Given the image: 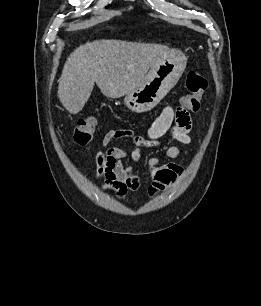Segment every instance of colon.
Instances as JSON below:
<instances>
[{
  "instance_id": "5ec220e1",
  "label": "colon",
  "mask_w": 261,
  "mask_h": 306,
  "mask_svg": "<svg viewBox=\"0 0 261 306\" xmlns=\"http://www.w3.org/2000/svg\"><path fill=\"white\" fill-rule=\"evenodd\" d=\"M206 88L207 83L204 77L198 71H190L186 77L187 94L182 96L180 100V108L185 111L198 110ZM95 124V119L93 117H81L73 132L75 143L81 146L89 144L93 138ZM104 158L105 155L103 153L97 155V164L99 167L103 165Z\"/></svg>"
}]
</instances>
